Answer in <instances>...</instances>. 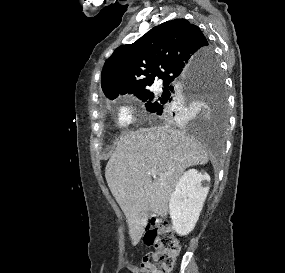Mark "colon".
I'll return each mask as SVG.
<instances>
[{
	"label": "colon",
	"mask_w": 285,
	"mask_h": 273,
	"mask_svg": "<svg viewBox=\"0 0 285 273\" xmlns=\"http://www.w3.org/2000/svg\"><path fill=\"white\" fill-rule=\"evenodd\" d=\"M144 242L155 250L146 254L143 273H170L180 251L179 241L163 221H157L144 236Z\"/></svg>",
	"instance_id": "colon-1"
}]
</instances>
